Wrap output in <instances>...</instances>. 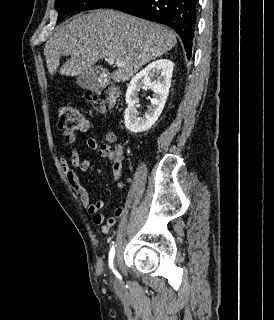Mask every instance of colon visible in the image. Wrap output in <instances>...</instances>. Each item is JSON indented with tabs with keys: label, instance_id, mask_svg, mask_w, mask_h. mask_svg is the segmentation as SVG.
Wrapping results in <instances>:
<instances>
[{
	"label": "colon",
	"instance_id": "colon-1",
	"mask_svg": "<svg viewBox=\"0 0 274 320\" xmlns=\"http://www.w3.org/2000/svg\"><path fill=\"white\" fill-rule=\"evenodd\" d=\"M114 87L111 85H104L100 89L87 90L84 94L86 101L101 112H107L113 106ZM57 127L59 131L65 136H71L78 131V124L80 120H87L83 113L69 104L62 103L56 108ZM103 148L110 151V153L117 159L121 156V150L116 146V138L112 134H107L103 142Z\"/></svg>",
	"mask_w": 274,
	"mask_h": 320
}]
</instances>
